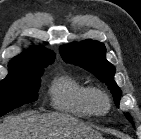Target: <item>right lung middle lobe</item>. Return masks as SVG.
Segmentation results:
<instances>
[{
    "label": "right lung middle lobe",
    "instance_id": "obj_1",
    "mask_svg": "<svg viewBox=\"0 0 141 139\" xmlns=\"http://www.w3.org/2000/svg\"><path fill=\"white\" fill-rule=\"evenodd\" d=\"M46 66L22 67L9 70L0 82V117L14 108L36 101L40 76Z\"/></svg>",
    "mask_w": 141,
    "mask_h": 139
}]
</instances>
